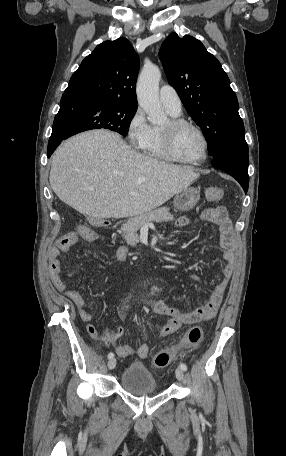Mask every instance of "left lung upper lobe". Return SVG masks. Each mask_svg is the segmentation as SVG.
<instances>
[{"instance_id":"left-lung-upper-lobe-1","label":"left lung upper lobe","mask_w":286,"mask_h":456,"mask_svg":"<svg viewBox=\"0 0 286 456\" xmlns=\"http://www.w3.org/2000/svg\"><path fill=\"white\" fill-rule=\"evenodd\" d=\"M159 57L169 84L202 129L209 154L248 151L238 100L217 58L196 38L176 33L164 40Z\"/></svg>"}]
</instances>
